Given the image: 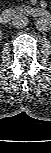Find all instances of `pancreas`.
I'll list each match as a JSON object with an SVG mask.
<instances>
[{"mask_svg":"<svg viewBox=\"0 0 51 153\" xmlns=\"http://www.w3.org/2000/svg\"><path fill=\"white\" fill-rule=\"evenodd\" d=\"M16 9L18 11H26L28 9V7L27 6H24V5H21V6L16 7Z\"/></svg>","mask_w":51,"mask_h":153,"instance_id":"1","label":"pancreas"}]
</instances>
